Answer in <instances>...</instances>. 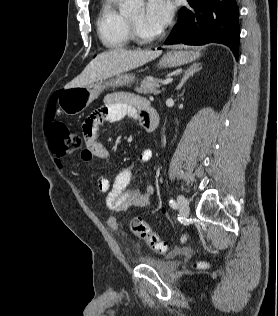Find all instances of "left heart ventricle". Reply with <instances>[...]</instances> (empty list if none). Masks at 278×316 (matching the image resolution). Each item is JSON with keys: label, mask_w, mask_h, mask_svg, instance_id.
Segmentation results:
<instances>
[{"label": "left heart ventricle", "mask_w": 278, "mask_h": 316, "mask_svg": "<svg viewBox=\"0 0 278 316\" xmlns=\"http://www.w3.org/2000/svg\"><path fill=\"white\" fill-rule=\"evenodd\" d=\"M145 11L144 9L139 10L137 13L134 15L130 16L129 18L140 28V30L145 34V35H154L158 31L150 28L144 18Z\"/></svg>", "instance_id": "1"}]
</instances>
